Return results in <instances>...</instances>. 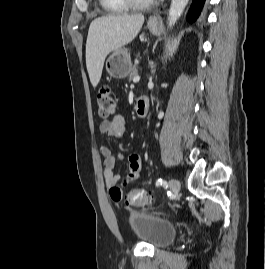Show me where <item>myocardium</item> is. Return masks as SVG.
<instances>
[{
  "label": "myocardium",
  "mask_w": 265,
  "mask_h": 269,
  "mask_svg": "<svg viewBox=\"0 0 265 269\" xmlns=\"http://www.w3.org/2000/svg\"><path fill=\"white\" fill-rule=\"evenodd\" d=\"M124 1L130 8L142 9L154 5L159 0H124Z\"/></svg>",
  "instance_id": "1"
}]
</instances>
